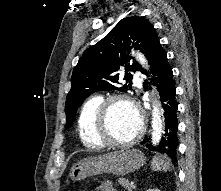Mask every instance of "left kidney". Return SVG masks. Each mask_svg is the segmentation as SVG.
<instances>
[{"label": "left kidney", "instance_id": "obj_1", "mask_svg": "<svg viewBox=\"0 0 221 191\" xmlns=\"http://www.w3.org/2000/svg\"><path fill=\"white\" fill-rule=\"evenodd\" d=\"M146 191H160L159 189H148Z\"/></svg>", "mask_w": 221, "mask_h": 191}]
</instances>
